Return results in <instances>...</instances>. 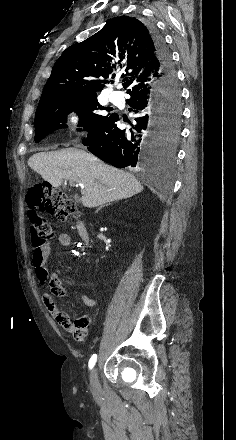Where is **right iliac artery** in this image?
<instances>
[{
	"instance_id": "82829eb1",
	"label": "right iliac artery",
	"mask_w": 236,
	"mask_h": 440,
	"mask_svg": "<svg viewBox=\"0 0 236 440\" xmlns=\"http://www.w3.org/2000/svg\"><path fill=\"white\" fill-rule=\"evenodd\" d=\"M97 361V354H93L89 360V369H92Z\"/></svg>"
}]
</instances>
